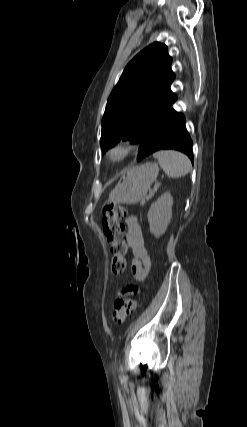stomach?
<instances>
[{
    "label": "stomach",
    "instance_id": "1",
    "mask_svg": "<svg viewBox=\"0 0 247 427\" xmlns=\"http://www.w3.org/2000/svg\"><path fill=\"white\" fill-rule=\"evenodd\" d=\"M159 167L147 162L123 171L116 187L110 192L108 202L136 204L145 199L151 184L156 180Z\"/></svg>",
    "mask_w": 247,
    "mask_h": 427
}]
</instances>
